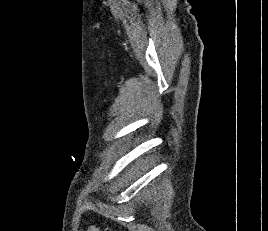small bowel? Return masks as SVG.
I'll return each instance as SVG.
<instances>
[{
	"label": "small bowel",
	"instance_id": "1",
	"mask_svg": "<svg viewBox=\"0 0 268 231\" xmlns=\"http://www.w3.org/2000/svg\"><path fill=\"white\" fill-rule=\"evenodd\" d=\"M87 231H99L98 228L95 226V225H90L88 228H87Z\"/></svg>",
	"mask_w": 268,
	"mask_h": 231
}]
</instances>
